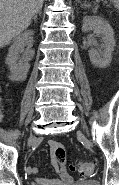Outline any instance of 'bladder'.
<instances>
[{
  "label": "bladder",
  "instance_id": "obj_1",
  "mask_svg": "<svg viewBox=\"0 0 119 185\" xmlns=\"http://www.w3.org/2000/svg\"><path fill=\"white\" fill-rule=\"evenodd\" d=\"M74 185H99V183L96 180H83L75 183Z\"/></svg>",
  "mask_w": 119,
  "mask_h": 185
}]
</instances>
